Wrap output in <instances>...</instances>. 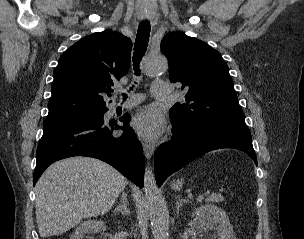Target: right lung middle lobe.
<instances>
[{"label": "right lung middle lobe", "instance_id": "right-lung-middle-lobe-1", "mask_svg": "<svg viewBox=\"0 0 304 239\" xmlns=\"http://www.w3.org/2000/svg\"><path fill=\"white\" fill-rule=\"evenodd\" d=\"M104 113H105V108H98V109L89 110V111L71 115V116L46 119L44 121V125L65 123V122L91 121V120L103 117Z\"/></svg>", "mask_w": 304, "mask_h": 239}]
</instances>
